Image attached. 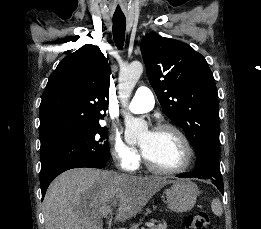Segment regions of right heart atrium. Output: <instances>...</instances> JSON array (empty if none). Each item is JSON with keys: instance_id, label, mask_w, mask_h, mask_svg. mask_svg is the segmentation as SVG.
<instances>
[{"instance_id": "d8ad5b80", "label": "right heart atrium", "mask_w": 261, "mask_h": 229, "mask_svg": "<svg viewBox=\"0 0 261 229\" xmlns=\"http://www.w3.org/2000/svg\"><path fill=\"white\" fill-rule=\"evenodd\" d=\"M110 145L112 156L116 164L126 172L136 171L141 162L140 154L137 149L125 142L118 135H110Z\"/></svg>"}]
</instances>
